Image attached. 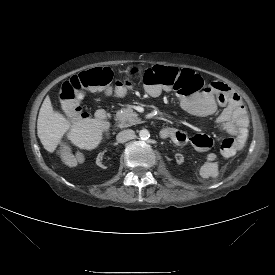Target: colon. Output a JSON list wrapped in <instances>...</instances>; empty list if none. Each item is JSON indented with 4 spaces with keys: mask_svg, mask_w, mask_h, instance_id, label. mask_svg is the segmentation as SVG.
<instances>
[{
    "mask_svg": "<svg viewBox=\"0 0 275 275\" xmlns=\"http://www.w3.org/2000/svg\"><path fill=\"white\" fill-rule=\"evenodd\" d=\"M143 79L147 92L154 97L161 95L163 89L179 95H191L199 92L204 86L202 79L195 72L174 67L149 68L145 71ZM112 81L113 73L107 67L80 72L63 82L59 99L70 105L74 112L73 119L79 121L85 115L79 112L78 98L88 91L105 87ZM220 149L223 156L232 157L237 151L236 141L230 137L225 138Z\"/></svg>",
    "mask_w": 275,
    "mask_h": 275,
    "instance_id": "obj_1",
    "label": "colon"
}]
</instances>
